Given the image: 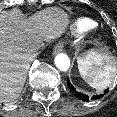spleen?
<instances>
[{"mask_svg":"<svg viewBox=\"0 0 117 117\" xmlns=\"http://www.w3.org/2000/svg\"><path fill=\"white\" fill-rule=\"evenodd\" d=\"M77 63L83 80L99 90L110 86L117 72L116 60L108 52L91 50Z\"/></svg>","mask_w":117,"mask_h":117,"instance_id":"3e777b00","label":"spleen"}]
</instances>
